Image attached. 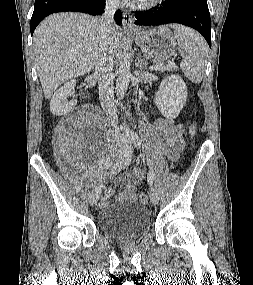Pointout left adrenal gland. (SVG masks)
<instances>
[{
  "mask_svg": "<svg viewBox=\"0 0 253 285\" xmlns=\"http://www.w3.org/2000/svg\"><path fill=\"white\" fill-rule=\"evenodd\" d=\"M147 63L144 62V59L141 58V55L137 57L136 67H138L140 70L146 69Z\"/></svg>",
  "mask_w": 253,
  "mask_h": 285,
  "instance_id": "left-adrenal-gland-1",
  "label": "left adrenal gland"
}]
</instances>
